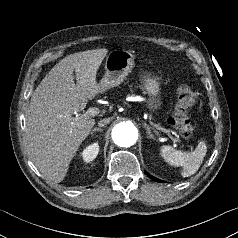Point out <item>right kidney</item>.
<instances>
[{"label": "right kidney", "mask_w": 238, "mask_h": 238, "mask_svg": "<svg viewBox=\"0 0 238 238\" xmlns=\"http://www.w3.org/2000/svg\"><path fill=\"white\" fill-rule=\"evenodd\" d=\"M99 152V145L98 143H93L89 146H87L83 151H82V158L86 163H89L93 161L96 156L98 155Z\"/></svg>", "instance_id": "obj_1"}]
</instances>
